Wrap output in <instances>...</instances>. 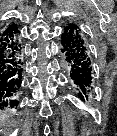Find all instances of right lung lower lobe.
I'll return each instance as SVG.
<instances>
[{"mask_svg":"<svg viewBox=\"0 0 117 136\" xmlns=\"http://www.w3.org/2000/svg\"><path fill=\"white\" fill-rule=\"evenodd\" d=\"M23 77L22 47L18 27L0 32V106L17 107Z\"/></svg>","mask_w":117,"mask_h":136,"instance_id":"1","label":"right lung lower lobe"}]
</instances>
